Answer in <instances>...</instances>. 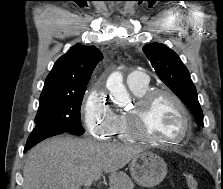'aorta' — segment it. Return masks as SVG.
I'll return each instance as SVG.
<instances>
[{
  "label": "aorta",
  "instance_id": "obj_1",
  "mask_svg": "<svg viewBox=\"0 0 223 189\" xmlns=\"http://www.w3.org/2000/svg\"><path fill=\"white\" fill-rule=\"evenodd\" d=\"M106 86L115 104L119 107H126L130 104V95L123 84V76L120 72H113L108 77Z\"/></svg>",
  "mask_w": 223,
  "mask_h": 189
}]
</instances>
